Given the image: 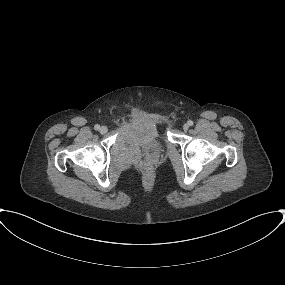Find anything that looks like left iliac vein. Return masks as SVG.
<instances>
[{
	"label": "left iliac vein",
	"instance_id": "4c4485c4",
	"mask_svg": "<svg viewBox=\"0 0 285 285\" xmlns=\"http://www.w3.org/2000/svg\"><path fill=\"white\" fill-rule=\"evenodd\" d=\"M183 129H184V131H187L189 129V125L188 124H184L183 125Z\"/></svg>",
	"mask_w": 285,
	"mask_h": 285
}]
</instances>
